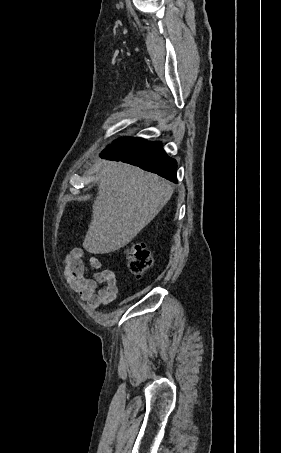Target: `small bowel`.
Segmentation results:
<instances>
[{
	"instance_id": "small-bowel-1",
	"label": "small bowel",
	"mask_w": 281,
	"mask_h": 453,
	"mask_svg": "<svg viewBox=\"0 0 281 453\" xmlns=\"http://www.w3.org/2000/svg\"><path fill=\"white\" fill-rule=\"evenodd\" d=\"M64 264L70 283L92 307L111 302L121 290L116 273L111 269H100L101 263L96 256L86 260L82 251L72 250L64 257Z\"/></svg>"
}]
</instances>
